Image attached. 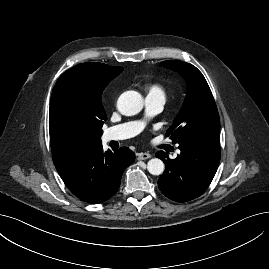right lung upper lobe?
I'll return each instance as SVG.
<instances>
[{"label":"right lung upper lobe","instance_id":"obj_1","mask_svg":"<svg viewBox=\"0 0 269 269\" xmlns=\"http://www.w3.org/2000/svg\"><path fill=\"white\" fill-rule=\"evenodd\" d=\"M122 71V67H112L94 62L78 64L63 73L52 92L49 128L52 123L57 98L60 96L65 97V100L72 108L84 110L95 120L104 123L107 116L101 101L102 92L108 83ZM101 144L100 138L95 139L89 148ZM61 162L63 161H56L54 164Z\"/></svg>","mask_w":269,"mask_h":269}]
</instances>
